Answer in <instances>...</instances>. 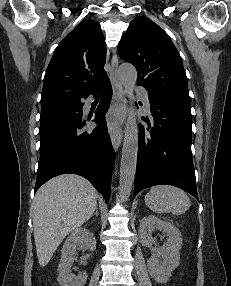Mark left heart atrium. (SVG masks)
<instances>
[{
  "instance_id": "obj_1",
  "label": "left heart atrium",
  "mask_w": 231,
  "mask_h": 286,
  "mask_svg": "<svg viewBox=\"0 0 231 286\" xmlns=\"http://www.w3.org/2000/svg\"><path fill=\"white\" fill-rule=\"evenodd\" d=\"M123 113L120 109L111 110L105 118L106 124L111 131H119L121 129Z\"/></svg>"
}]
</instances>
